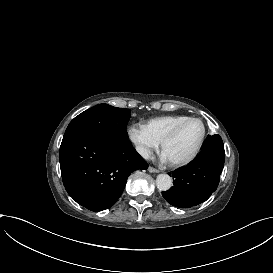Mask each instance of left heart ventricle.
Segmentation results:
<instances>
[{
    "mask_svg": "<svg viewBox=\"0 0 273 273\" xmlns=\"http://www.w3.org/2000/svg\"><path fill=\"white\" fill-rule=\"evenodd\" d=\"M203 133V125L194 120L185 124L164 147L168 161H179L187 158L197 146Z\"/></svg>",
    "mask_w": 273,
    "mask_h": 273,
    "instance_id": "left-heart-ventricle-1",
    "label": "left heart ventricle"
}]
</instances>
